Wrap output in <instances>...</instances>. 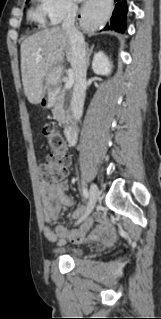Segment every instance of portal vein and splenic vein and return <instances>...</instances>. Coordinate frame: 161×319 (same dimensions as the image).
<instances>
[{"instance_id": "obj_1", "label": "portal vein and splenic vein", "mask_w": 161, "mask_h": 319, "mask_svg": "<svg viewBox=\"0 0 161 319\" xmlns=\"http://www.w3.org/2000/svg\"><path fill=\"white\" fill-rule=\"evenodd\" d=\"M37 60H40L41 59V56H37L36 58ZM73 82H74V74H73V71L71 69L68 70V79L65 83V88L66 89H70L73 85Z\"/></svg>"}]
</instances>
